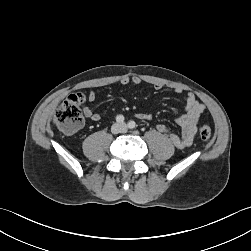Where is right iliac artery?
<instances>
[{
    "label": "right iliac artery",
    "instance_id": "right-iliac-artery-1",
    "mask_svg": "<svg viewBox=\"0 0 251 251\" xmlns=\"http://www.w3.org/2000/svg\"><path fill=\"white\" fill-rule=\"evenodd\" d=\"M116 121L118 123H123L124 122V116L123 115H117L116 116Z\"/></svg>",
    "mask_w": 251,
    "mask_h": 251
}]
</instances>
